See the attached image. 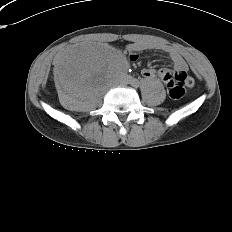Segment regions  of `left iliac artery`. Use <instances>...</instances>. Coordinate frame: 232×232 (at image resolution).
Instances as JSON below:
<instances>
[{
	"label": "left iliac artery",
	"mask_w": 232,
	"mask_h": 232,
	"mask_svg": "<svg viewBox=\"0 0 232 232\" xmlns=\"http://www.w3.org/2000/svg\"><path fill=\"white\" fill-rule=\"evenodd\" d=\"M132 86L135 87V88H138L139 85H140V82L137 80V79H134L132 82H131Z\"/></svg>",
	"instance_id": "44dca946"
}]
</instances>
